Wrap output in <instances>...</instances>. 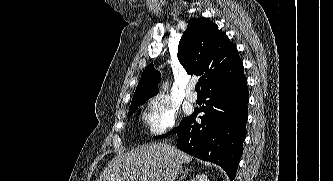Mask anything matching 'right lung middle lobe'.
<instances>
[{
	"label": "right lung middle lobe",
	"instance_id": "dd1d6c3e",
	"mask_svg": "<svg viewBox=\"0 0 333 181\" xmlns=\"http://www.w3.org/2000/svg\"><path fill=\"white\" fill-rule=\"evenodd\" d=\"M144 103H145V101L142 102V103H139V104H137V105H135V106H133V107H130V108H129L128 116H130V115L136 110V108H137L139 105H142V104H144ZM140 112H141V110H139V111L137 112V114H140ZM175 130H176V128H174L172 131L168 132V133L165 134V135L157 136V137H155V138H163V137H166L167 135L172 134Z\"/></svg>",
	"mask_w": 333,
	"mask_h": 181
}]
</instances>
